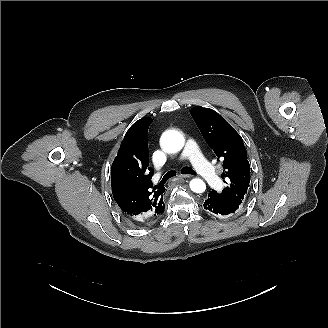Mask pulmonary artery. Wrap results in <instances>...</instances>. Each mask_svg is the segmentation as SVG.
<instances>
[{
	"label": "pulmonary artery",
	"instance_id": "pulmonary-artery-1",
	"mask_svg": "<svg viewBox=\"0 0 328 328\" xmlns=\"http://www.w3.org/2000/svg\"><path fill=\"white\" fill-rule=\"evenodd\" d=\"M185 151L187 152V160L191 164H194L193 168L197 174L205 177L207 181L213 185L220 181V173L206 158V155L198 147V144L195 141H188Z\"/></svg>",
	"mask_w": 328,
	"mask_h": 328
}]
</instances>
